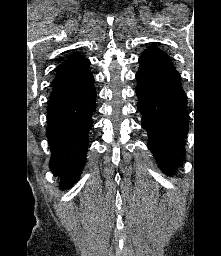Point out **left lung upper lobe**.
<instances>
[{
    "label": "left lung upper lobe",
    "mask_w": 221,
    "mask_h": 256,
    "mask_svg": "<svg viewBox=\"0 0 221 256\" xmlns=\"http://www.w3.org/2000/svg\"><path fill=\"white\" fill-rule=\"evenodd\" d=\"M140 68H174L169 56L155 46L149 47L139 57Z\"/></svg>",
    "instance_id": "obj_1"
}]
</instances>
